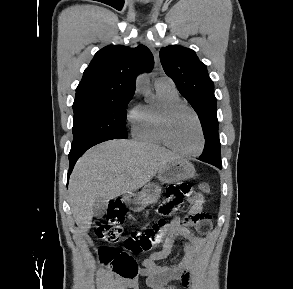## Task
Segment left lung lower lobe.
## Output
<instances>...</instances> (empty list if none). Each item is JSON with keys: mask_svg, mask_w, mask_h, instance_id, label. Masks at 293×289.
Here are the masks:
<instances>
[{"mask_svg": "<svg viewBox=\"0 0 293 289\" xmlns=\"http://www.w3.org/2000/svg\"><path fill=\"white\" fill-rule=\"evenodd\" d=\"M205 139V147L202 155L200 156V160L222 169V163H210L206 158H204L208 153H213V151L220 145L219 134L212 133Z\"/></svg>", "mask_w": 293, "mask_h": 289, "instance_id": "left-lung-lower-lobe-1", "label": "left lung lower lobe"}]
</instances>
